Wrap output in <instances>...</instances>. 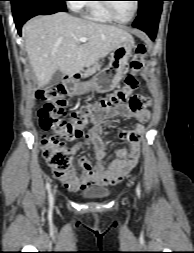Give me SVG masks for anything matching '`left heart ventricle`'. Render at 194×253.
I'll return each mask as SVG.
<instances>
[{"label":"left heart ventricle","mask_w":194,"mask_h":253,"mask_svg":"<svg viewBox=\"0 0 194 253\" xmlns=\"http://www.w3.org/2000/svg\"><path fill=\"white\" fill-rule=\"evenodd\" d=\"M111 6L115 12V14L120 19H128L134 10V1H116L112 2Z\"/></svg>","instance_id":"1"}]
</instances>
